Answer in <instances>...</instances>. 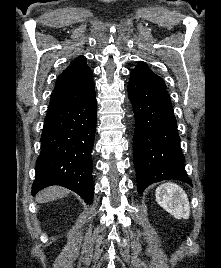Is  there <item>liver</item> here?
Wrapping results in <instances>:
<instances>
[{"mask_svg":"<svg viewBox=\"0 0 221 268\" xmlns=\"http://www.w3.org/2000/svg\"><path fill=\"white\" fill-rule=\"evenodd\" d=\"M69 191L63 187L53 186L42 190L36 197L38 203H46L67 196Z\"/></svg>","mask_w":221,"mask_h":268,"instance_id":"1","label":"liver"}]
</instances>
